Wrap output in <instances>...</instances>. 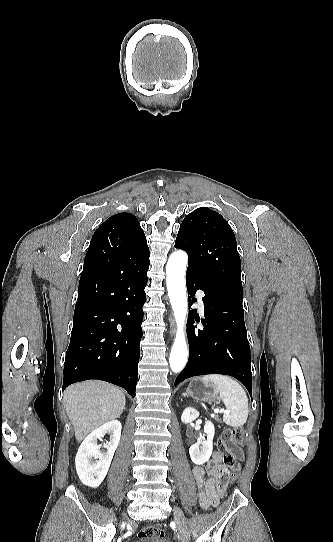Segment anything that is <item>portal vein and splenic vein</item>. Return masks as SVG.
Returning a JSON list of instances; mask_svg holds the SVG:
<instances>
[{"instance_id":"portal-vein-and-splenic-vein-1","label":"portal vein and splenic vein","mask_w":333,"mask_h":542,"mask_svg":"<svg viewBox=\"0 0 333 542\" xmlns=\"http://www.w3.org/2000/svg\"><path fill=\"white\" fill-rule=\"evenodd\" d=\"M213 412H215V414H216V412H226V414H227V410H223V408H222V410H217V408H216V410H213Z\"/></svg>"}]
</instances>
